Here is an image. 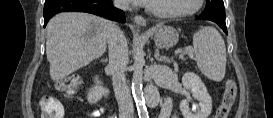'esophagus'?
I'll list each match as a JSON object with an SVG mask.
<instances>
[{"mask_svg": "<svg viewBox=\"0 0 273 118\" xmlns=\"http://www.w3.org/2000/svg\"><path fill=\"white\" fill-rule=\"evenodd\" d=\"M134 22L139 26H146V23H147L146 19L139 15L134 17Z\"/></svg>", "mask_w": 273, "mask_h": 118, "instance_id": "obj_1", "label": "esophagus"}]
</instances>
